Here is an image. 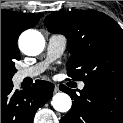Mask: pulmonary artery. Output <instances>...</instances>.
I'll return each mask as SVG.
<instances>
[{
    "mask_svg": "<svg viewBox=\"0 0 123 123\" xmlns=\"http://www.w3.org/2000/svg\"><path fill=\"white\" fill-rule=\"evenodd\" d=\"M67 39L61 34H52L47 43V56L46 60L40 62L32 67L21 69L17 73V78L23 80L28 77H35L42 73L48 66V64L60 57L66 49ZM85 84L83 82L79 83V88L83 89Z\"/></svg>",
    "mask_w": 123,
    "mask_h": 123,
    "instance_id": "e3ab8cb5",
    "label": "pulmonary artery"
}]
</instances>
